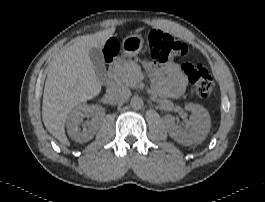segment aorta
Instances as JSON below:
<instances>
[{"instance_id": "obj_1", "label": "aorta", "mask_w": 265, "mask_h": 202, "mask_svg": "<svg viewBox=\"0 0 265 202\" xmlns=\"http://www.w3.org/2000/svg\"><path fill=\"white\" fill-rule=\"evenodd\" d=\"M130 105L134 110H139L143 107V99L139 96H134L131 98Z\"/></svg>"}]
</instances>
